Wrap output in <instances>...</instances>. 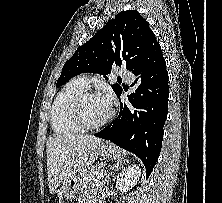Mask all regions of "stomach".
I'll return each instance as SVG.
<instances>
[{
  "label": "stomach",
  "mask_w": 222,
  "mask_h": 203,
  "mask_svg": "<svg viewBox=\"0 0 222 203\" xmlns=\"http://www.w3.org/2000/svg\"><path fill=\"white\" fill-rule=\"evenodd\" d=\"M98 155L102 157H107L110 159H119L121 158V150L115 145L100 144L97 149ZM81 177L78 173L71 176L69 179L63 182L62 192L65 197L69 198L75 195L79 190L81 184Z\"/></svg>",
  "instance_id": "stomach-1"
}]
</instances>
